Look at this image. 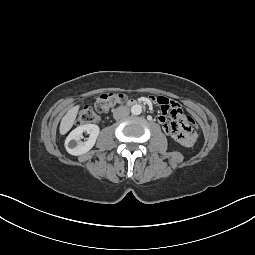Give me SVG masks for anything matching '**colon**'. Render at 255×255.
<instances>
[{
    "label": "colon",
    "mask_w": 255,
    "mask_h": 255,
    "mask_svg": "<svg viewBox=\"0 0 255 255\" xmlns=\"http://www.w3.org/2000/svg\"><path fill=\"white\" fill-rule=\"evenodd\" d=\"M159 97L160 96L157 97L156 103L160 106ZM123 99H124V95L121 93L108 92V93L101 94L96 99L93 106H85L80 111L78 119H77L78 124L83 125V124L97 122L99 119L98 113L107 112L111 107H113L117 103H120ZM186 120L192 125L194 129L198 128V125L190 116H187Z\"/></svg>",
    "instance_id": "colon-1"
}]
</instances>
